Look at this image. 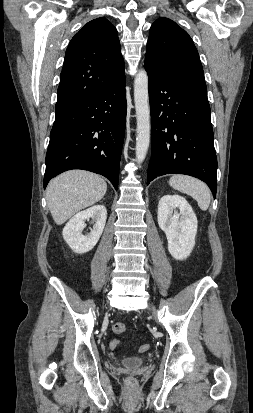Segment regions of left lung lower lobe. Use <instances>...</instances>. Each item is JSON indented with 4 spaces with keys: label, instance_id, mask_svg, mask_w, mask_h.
Instances as JSON below:
<instances>
[{
    "label": "left lung lower lobe",
    "instance_id": "1",
    "mask_svg": "<svg viewBox=\"0 0 253 413\" xmlns=\"http://www.w3.org/2000/svg\"><path fill=\"white\" fill-rule=\"evenodd\" d=\"M149 82L152 152L147 183L178 173L204 181L216 196L217 157L208 100L172 83L145 63Z\"/></svg>",
    "mask_w": 253,
    "mask_h": 413
}]
</instances>
